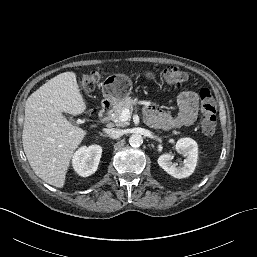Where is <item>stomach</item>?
<instances>
[{
	"label": "stomach",
	"mask_w": 257,
	"mask_h": 257,
	"mask_svg": "<svg viewBox=\"0 0 257 257\" xmlns=\"http://www.w3.org/2000/svg\"><path fill=\"white\" fill-rule=\"evenodd\" d=\"M149 74H151L150 71L145 76L150 77ZM102 93L104 96L102 104L115 106L129 96L131 93V82L126 78H122L120 81L110 78L103 84Z\"/></svg>",
	"instance_id": "obj_1"
}]
</instances>
